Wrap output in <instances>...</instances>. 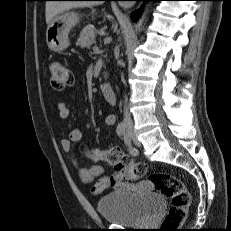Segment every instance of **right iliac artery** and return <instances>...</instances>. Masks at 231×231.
I'll return each instance as SVG.
<instances>
[{
    "label": "right iliac artery",
    "instance_id": "obj_1",
    "mask_svg": "<svg viewBox=\"0 0 231 231\" xmlns=\"http://www.w3.org/2000/svg\"><path fill=\"white\" fill-rule=\"evenodd\" d=\"M125 128H126V126H125V123H124V122H120V123L118 124L117 130H116L118 136H123V135H125Z\"/></svg>",
    "mask_w": 231,
    "mask_h": 231
}]
</instances>
